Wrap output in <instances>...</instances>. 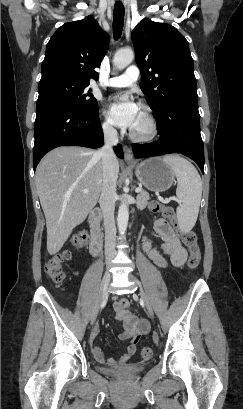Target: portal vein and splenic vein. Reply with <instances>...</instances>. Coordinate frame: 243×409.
<instances>
[{
    "instance_id": "18ae733b",
    "label": "portal vein and splenic vein",
    "mask_w": 243,
    "mask_h": 409,
    "mask_svg": "<svg viewBox=\"0 0 243 409\" xmlns=\"http://www.w3.org/2000/svg\"><path fill=\"white\" fill-rule=\"evenodd\" d=\"M141 191H142V189H141V188H136V190H135V192H136V193H140ZM88 192H89V191H88V190H86V189H85V190H83V193H84V194H88Z\"/></svg>"
}]
</instances>
